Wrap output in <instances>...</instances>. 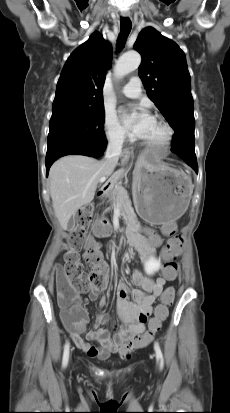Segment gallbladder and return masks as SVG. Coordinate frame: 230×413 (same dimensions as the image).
<instances>
[{
  "label": "gallbladder",
  "mask_w": 230,
  "mask_h": 413,
  "mask_svg": "<svg viewBox=\"0 0 230 413\" xmlns=\"http://www.w3.org/2000/svg\"><path fill=\"white\" fill-rule=\"evenodd\" d=\"M67 227H68L69 230L73 229L75 227V222L73 220H70L68 222Z\"/></svg>",
  "instance_id": "1"
}]
</instances>
